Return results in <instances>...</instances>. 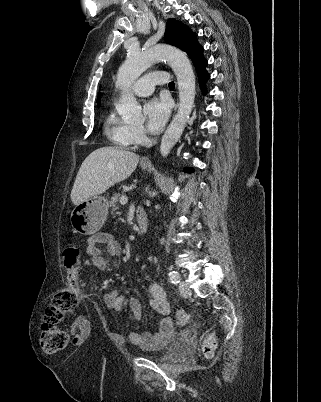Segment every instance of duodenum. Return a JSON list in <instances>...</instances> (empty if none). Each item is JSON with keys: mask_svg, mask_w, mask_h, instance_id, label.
<instances>
[{"mask_svg": "<svg viewBox=\"0 0 321 402\" xmlns=\"http://www.w3.org/2000/svg\"><path fill=\"white\" fill-rule=\"evenodd\" d=\"M135 218L138 225V233L139 235L145 234L148 229V217L144 210L139 209L136 211Z\"/></svg>", "mask_w": 321, "mask_h": 402, "instance_id": "duodenum-1", "label": "duodenum"}]
</instances>
